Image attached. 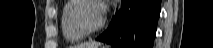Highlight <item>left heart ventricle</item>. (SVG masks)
<instances>
[{
  "instance_id": "1",
  "label": "left heart ventricle",
  "mask_w": 213,
  "mask_h": 48,
  "mask_svg": "<svg viewBox=\"0 0 213 48\" xmlns=\"http://www.w3.org/2000/svg\"><path fill=\"white\" fill-rule=\"evenodd\" d=\"M82 23L88 28L96 27L102 16V9L95 3H86L78 11Z\"/></svg>"
}]
</instances>
